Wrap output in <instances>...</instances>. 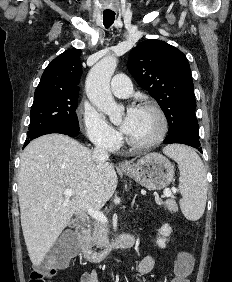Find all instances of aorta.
Masks as SVG:
<instances>
[{
  "mask_svg": "<svg viewBox=\"0 0 232 282\" xmlns=\"http://www.w3.org/2000/svg\"><path fill=\"white\" fill-rule=\"evenodd\" d=\"M117 62L112 55L104 57L91 68L86 79V93L89 100L100 111L108 115L113 123L121 120L123 111V108L115 102L110 90V80L117 67Z\"/></svg>",
  "mask_w": 232,
  "mask_h": 282,
  "instance_id": "762f6f07",
  "label": "aorta"
}]
</instances>
